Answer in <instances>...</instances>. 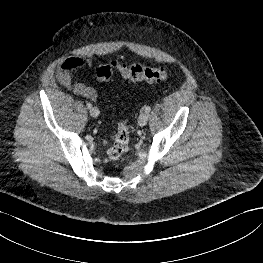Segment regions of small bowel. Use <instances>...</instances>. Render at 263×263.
Segmentation results:
<instances>
[{"mask_svg":"<svg viewBox=\"0 0 263 263\" xmlns=\"http://www.w3.org/2000/svg\"><path fill=\"white\" fill-rule=\"evenodd\" d=\"M91 65L92 60L88 57H69L59 64L56 70V77L62 86L74 94L89 100H95L97 98V91L93 87L81 81H74L72 78V73L75 70Z\"/></svg>","mask_w":263,"mask_h":263,"instance_id":"small-bowel-1","label":"small bowel"}]
</instances>
